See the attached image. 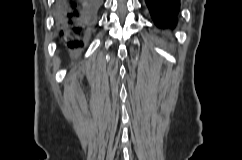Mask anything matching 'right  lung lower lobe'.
Returning a JSON list of instances; mask_svg holds the SVG:
<instances>
[{"label": "right lung lower lobe", "mask_w": 242, "mask_h": 160, "mask_svg": "<svg viewBox=\"0 0 242 160\" xmlns=\"http://www.w3.org/2000/svg\"><path fill=\"white\" fill-rule=\"evenodd\" d=\"M101 0H57L56 23L69 47L83 46L81 38L92 27Z\"/></svg>", "instance_id": "right-lung-lower-lobe-1"}]
</instances>
